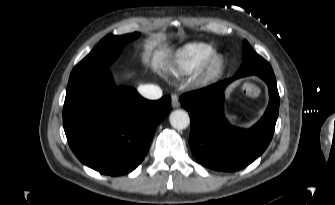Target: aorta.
Returning <instances> with one entry per match:
<instances>
[{
	"label": "aorta",
	"instance_id": "aorta-1",
	"mask_svg": "<svg viewBox=\"0 0 335 205\" xmlns=\"http://www.w3.org/2000/svg\"><path fill=\"white\" fill-rule=\"evenodd\" d=\"M170 124L178 130L187 128L190 124V117L187 112L183 110H175L170 114Z\"/></svg>",
	"mask_w": 335,
	"mask_h": 205
}]
</instances>
